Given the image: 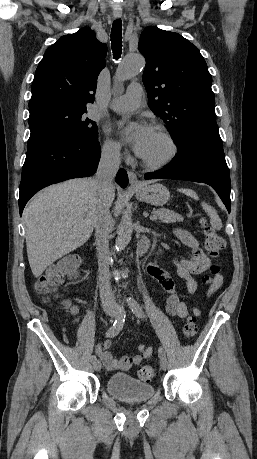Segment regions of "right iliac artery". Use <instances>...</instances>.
Returning a JSON list of instances; mask_svg holds the SVG:
<instances>
[{
    "mask_svg": "<svg viewBox=\"0 0 257 459\" xmlns=\"http://www.w3.org/2000/svg\"><path fill=\"white\" fill-rule=\"evenodd\" d=\"M124 322H125V311H124L123 307L119 306L118 312H117V318H116L115 322L113 323V325L107 330L106 337L113 338L116 335H118L119 332L123 328ZM96 360H97L96 356L92 355L91 356V361L95 362Z\"/></svg>",
    "mask_w": 257,
    "mask_h": 459,
    "instance_id": "right-iliac-artery-1",
    "label": "right iliac artery"
}]
</instances>
